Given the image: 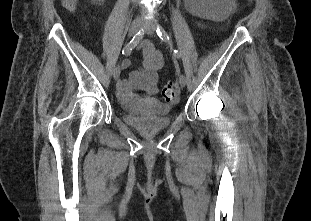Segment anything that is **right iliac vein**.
<instances>
[{
  "label": "right iliac vein",
  "instance_id": "right-iliac-vein-1",
  "mask_svg": "<svg viewBox=\"0 0 311 221\" xmlns=\"http://www.w3.org/2000/svg\"><path fill=\"white\" fill-rule=\"evenodd\" d=\"M143 23L141 21H133L129 28V36L132 37L135 35L139 29L142 27ZM120 76V66L117 65L113 70V77L115 80H118Z\"/></svg>",
  "mask_w": 311,
  "mask_h": 221
}]
</instances>
